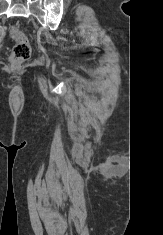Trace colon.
Masks as SVG:
<instances>
[{"label":"colon","instance_id":"5ec220e1","mask_svg":"<svg viewBox=\"0 0 163 235\" xmlns=\"http://www.w3.org/2000/svg\"><path fill=\"white\" fill-rule=\"evenodd\" d=\"M9 33L11 38L15 41L11 61L13 64H20L30 57L31 46L29 40L16 26H12Z\"/></svg>","mask_w":163,"mask_h":235}]
</instances>
